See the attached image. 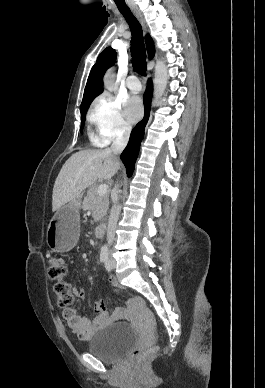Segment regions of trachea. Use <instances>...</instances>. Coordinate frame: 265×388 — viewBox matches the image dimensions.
Returning <instances> with one entry per match:
<instances>
[{"label":"trachea","mask_w":265,"mask_h":388,"mask_svg":"<svg viewBox=\"0 0 265 388\" xmlns=\"http://www.w3.org/2000/svg\"><path fill=\"white\" fill-rule=\"evenodd\" d=\"M120 12L128 22L132 34L131 56L133 67L140 75H145L147 70L146 53L141 25L131 10H120Z\"/></svg>","instance_id":"trachea-1"}]
</instances>
